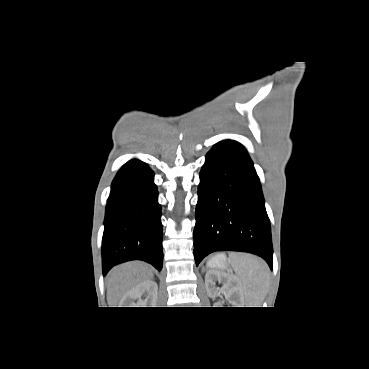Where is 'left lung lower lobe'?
<instances>
[{
    "instance_id": "obj_1",
    "label": "left lung lower lobe",
    "mask_w": 369,
    "mask_h": 369,
    "mask_svg": "<svg viewBox=\"0 0 369 369\" xmlns=\"http://www.w3.org/2000/svg\"><path fill=\"white\" fill-rule=\"evenodd\" d=\"M215 251H243L273 269L271 228L259 178L245 148L218 142L200 172L194 257L196 265Z\"/></svg>"
}]
</instances>
